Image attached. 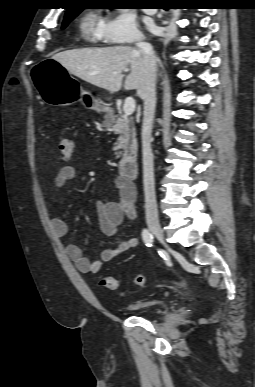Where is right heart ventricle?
<instances>
[{
	"label": "right heart ventricle",
	"mask_w": 255,
	"mask_h": 387,
	"mask_svg": "<svg viewBox=\"0 0 255 387\" xmlns=\"http://www.w3.org/2000/svg\"><path fill=\"white\" fill-rule=\"evenodd\" d=\"M105 20L97 13H87L80 22L82 36L89 42H97L102 39V30Z\"/></svg>",
	"instance_id": "right-heart-ventricle-1"
}]
</instances>
